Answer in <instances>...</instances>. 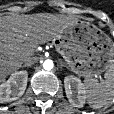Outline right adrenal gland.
<instances>
[{"label": "right adrenal gland", "instance_id": "right-adrenal-gland-1", "mask_svg": "<svg viewBox=\"0 0 114 114\" xmlns=\"http://www.w3.org/2000/svg\"><path fill=\"white\" fill-rule=\"evenodd\" d=\"M24 67H27V66H26V65H23V68H24Z\"/></svg>", "mask_w": 114, "mask_h": 114}]
</instances>
